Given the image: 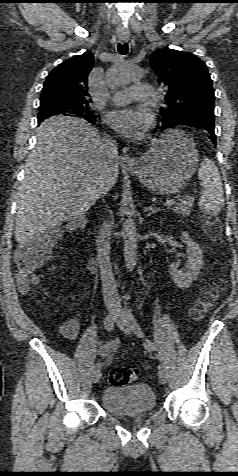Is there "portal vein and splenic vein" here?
<instances>
[{
    "mask_svg": "<svg viewBox=\"0 0 238 476\" xmlns=\"http://www.w3.org/2000/svg\"><path fill=\"white\" fill-rule=\"evenodd\" d=\"M174 203H175V199L171 198V199L166 200L163 204L164 205H170V204H174Z\"/></svg>",
    "mask_w": 238,
    "mask_h": 476,
    "instance_id": "18ae733b",
    "label": "portal vein and splenic vein"
}]
</instances>
